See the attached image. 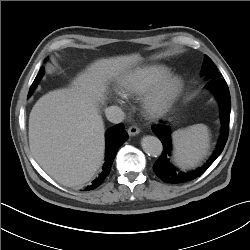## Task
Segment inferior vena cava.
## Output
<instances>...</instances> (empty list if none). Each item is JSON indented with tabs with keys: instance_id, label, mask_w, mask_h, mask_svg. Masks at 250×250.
Here are the masks:
<instances>
[{
	"instance_id": "inferior-vena-cava-1",
	"label": "inferior vena cava",
	"mask_w": 250,
	"mask_h": 250,
	"mask_svg": "<svg viewBox=\"0 0 250 250\" xmlns=\"http://www.w3.org/2000/svg\"><path fill=\"white\" fill-rule=\"evenodd\" d=\"M107 119L115 124L121 123L124 120L125 114L118 106H110L105 109Z\"/></svg>"
}]
</instances>
